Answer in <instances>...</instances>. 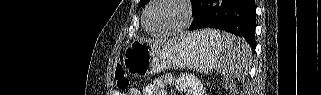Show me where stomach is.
Returning <instances> with one entry per match:
<instances>
[{"instance_id":"obj_1","label":"stomach","mask_w":321,"mask_h":95,"mask_svg":"<svg viewBox=\"0 0 321 95\" xmlns=\"http://www.w3.org/2000/svg\"><path fill=\"white\" fill-rule=\"evenodd\" d=\"M221 54V41L198 31L170 45L133 40L125 49L123 65L136 76H148L168 68H191L209 73L217 66Z\"/></svg>"}]
</instances>
